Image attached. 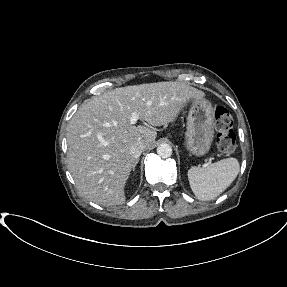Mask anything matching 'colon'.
Segmentation results:
<instances>
[{
	"instance_id": "5ec220e1",
	"label": "colon",
	"mask_w": 287,
	"mask_h": 287,
	"mask_svg": "<svg viewBox=\"0 0 287 287\" xmlns=\"http://www.w3.org/2000/svg\"><path fill=\"white\" fill-rule=\"evenodd\" d=\"M217 128L216 145L222 154L230 155L236 148V135L233 130V117L224 107H218L215 111Z\"/></svg>"
}]
</instances>
